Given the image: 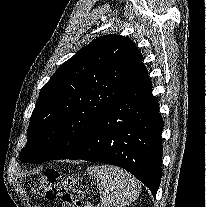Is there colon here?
Instances as JSON below:
<instances>
[{
    "instance_id": "colon-1",
    "label": "colon",
    "mask_w": 206,
    "mask_h": 207,
    "mask_svg": "<svg viewBox=\"0 0 206 207\" xmlns=\"http://www.w3.org/2000/svg\"><path fill=\"white\" fill-rule=\"evenodd\" d=\"M33 190L48 200H59L61 207H83V193L77 188L75 180L54 169L47 170Z\"/></svg>"
}]
</instances>
